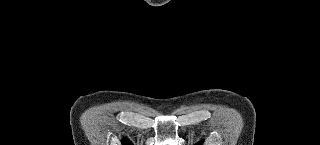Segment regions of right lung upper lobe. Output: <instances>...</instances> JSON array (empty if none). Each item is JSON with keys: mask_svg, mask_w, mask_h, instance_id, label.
Wrapping results in <instances>:
<instances>
[{"mask_svg": "<svg viewBox=\"0 0 320 145\" xmlns=\"http://www.w3.org/2000/svg\"><path fill=\"white\" fill-rule=\"evenodd\" d=\"M123 145H130V143H129L128 140H124V141H123Z\"/></svg>", "mask_w": 320, "mask_h": 145, "instance_id": "1", "label": "right lung upper lobe"}]
</instances>
